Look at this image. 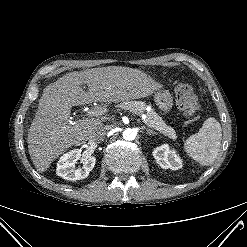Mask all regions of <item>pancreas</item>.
I'll use <instances>...</instances> for the list:
<instances>
[{
  "label": "pancreas",
  "mask_w": 247,
  "mask_h": 247,
  "mask_svg": "<svg viewBox=\"0 0 247 247\" xmlns=\"http://www.w3.org/2000/svg\"><path fill=\"white\" fill-rule=\"evenodd\" d=\"M119 107L125 110H133L138 114H143L147 109L148 105L142 101H128L120 103ZM143 122L150 128H153L159 131L164 136L175 140L177 138L175 130L167 125L163 119L154 111L150 110L146 114V118L143 119Z\"/></svg>",
  "instance_id": "1"
}]
</instances>
